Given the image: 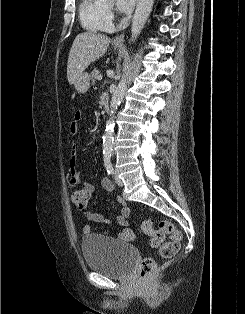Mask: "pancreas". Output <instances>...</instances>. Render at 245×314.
Listing matches in <instances>:
<instances>
[{
  "mask_svg": "<svg viewBox=\"0 0 245 314\" xmlns=\"http://www.w3.org/2000/svg\"><path fill=\"white\" fill-rule=\"evenodd\" d=\"M98 75H99V71L97 69H94L92 72H91V81H92V85L95 84L96 82V79L98 78Z\"/></svg>",
  "mask_w": 245,
  "mask_h": 314,
  "instance_id": "obj_1",
  "label": "pancreas"
}]
</instances>
